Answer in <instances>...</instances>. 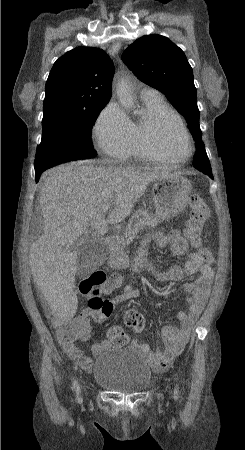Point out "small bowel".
<instances>
[{"instance_id": "c3829d8e", "label": "small bowel", "mask_w": 245, "mask_h": 450, "mask_svg": "<svg viewBox=\"0 0 245 450\" xmlns=\"http://www.w3.org/2000/svg\"><path fill=\"white\" fill-rule=\"evenodd\" d=\"M147 241L158 247H165L170 244L172 254L175 257H181L186 254L188 246L179 231L174 230L170 234L162 232H154L148 236ZM214 260V259H213ZM212 263H205L201 260L198 252H192L184 264L182 269L178 265H172L164 270L153 269L152 275L159 282L176 281L182 278L184 271L188 274H196L198 276L193 282L185 283L181 289L188 294L189 309L188 311H180L177 318L180 320V327H164L162 329V344L157 345L155 350H152L147 342L133 337L129 341V346L137 349L144 355L151 368L156 372L166 371L172 363L178 358L191 333L193 325L204 308L205 301L210 292V286L214 279V269ZM82 284V283H81ZM80 284V286H81ZM113 291H118L117 295L111 300L106 301L108 311L94 310L89 306L78 316L72 318V321L84 322L87 326L88 333L82 338L86 340L90 332V322L98 325L104 322L111 314V308L114 303L124 302L126 300L141 297L144 292L130 285L122 286V280L118 281ZM88 297H92L88 293ZM109 334V332H108ZM57 338L62 344L67 355L76 363L89 370L92 366V359L84 356L83 352L75 345L74 341H63L58 333ZM115 345L110 340L109 335L106 338L94 341L91 345L92 353L95 355L101 354L113 348Z\"/></svg>"}]
</instances>
